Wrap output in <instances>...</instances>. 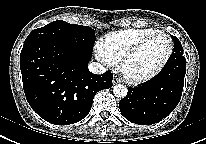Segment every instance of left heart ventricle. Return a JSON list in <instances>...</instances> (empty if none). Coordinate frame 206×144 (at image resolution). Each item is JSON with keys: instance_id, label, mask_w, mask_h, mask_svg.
I'll return each instance as SVG.
<instances>
[{"instance_id": "1", "label": "left heart ventricle", "mask_w": 206, "mask_h": 144, "mask_svg": "<svg viewBox=\"0 0 206 144\" xmlns=\"http://www.w3.org/2000/svg\"><path fill=\"white\" fill-rule=\"evenodd\" d=\"M169 42L165 36L151 38L128 62L127 71L132 75H144L155 70L168 53Z\"/></svg>"}]
</instances>
